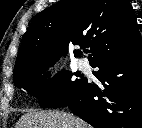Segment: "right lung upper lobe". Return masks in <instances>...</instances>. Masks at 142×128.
<instances>
[{"label": "right lung upper lobe", "instance_id": "cb5924a9", "mask_svg": "<svg viewBox=\"0 0 142 128\" xmlns=\"http://www.w3.org/2000/svg\"><path fill=\"white\" fill-rule=\"evenodd\" d=\"M69 43L90 47V65L125 55L142 45L128 0H61L32 20L21 42L15 70L37 61L59 59ZM81 52L74 50V56Z\"/></svg>", "mask_w": 142, "mask_h": 128}]
</instances>
